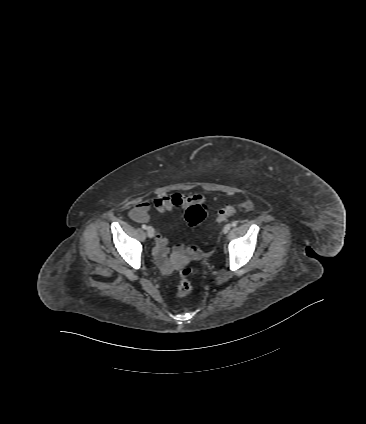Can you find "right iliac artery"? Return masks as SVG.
Wrapping results in <instances>:
<instances>
[{
    "instance_id": "82829eb1",
    "label": "right iliac artery",
    "mask_w": 366,
    "mask_h": 424,
    "mask_svg": "<svg viewBox=\"0 0 366 424\" xmlns=\"http://www.w3.org/2000/svg\"><path fill=\"white\" fill-rule=\"evenodd\" d=\"M143 229H147V226L145 224L142 225Z\"/></svg>"
}]
</instances>
